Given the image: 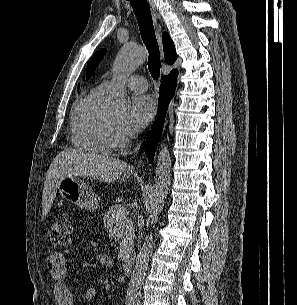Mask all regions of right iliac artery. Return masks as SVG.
Segmentation results:
<instances>
[{
  "label": "right iliac artery",
  "mask_w": 297,
  "mask_h": 305,
  "mask_svg": "<svg viewBox=\"0 0 297 305\" xmlns=\"http://www.w3.org/2000/svg\"><path fill=\"white\" fill-rule=\"evenodd\" d=\"M134 298L133 297H127V299H126V304L127 305H133V303H134Z\"/></svg>",
  "instance_id": "1"
}]
</instances>
